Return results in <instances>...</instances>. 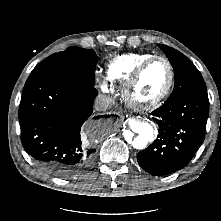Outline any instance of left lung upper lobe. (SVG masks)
<instances>
[{
    "label": "left lung upper lobe",
    "instance_id": "5c2ea615",
    "mask_svg": "<svg viewBox=\"0 0 221 221\" xmlns=\"http://www.w3.org/2000/svg\"><path fill=\"white\" fill-rule=\"evenodd\" d=\"M163 50L174 69L175 86L168 100L178 99L194 91H207L201 73L181 52L172 47L158 44Z\"/></svg>",
    "mask_w": 221,
    "mask_h": 221
}]
</instances>
